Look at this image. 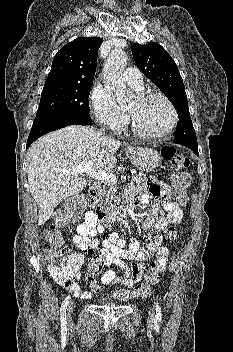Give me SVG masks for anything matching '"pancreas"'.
<instances>
[{
  "instance_id": "1",
  "label": "pancreas",
  "mask_w": 233,
  "mask_h": 352,
  "mask_svg": "<svg viewBox=\"0 0 233 352\" xmlns=\"http://www.w3.org/2000/svg\"><path fill=\"white\" fill-rule=\"evenodd\" d=\"M145 179H146L145 174H138L132 177V181L138 184L144 182ZM116 192H117L116 186L113 183L108 184L107 187L103 188L99 193L96 199V203L102 208L108 205L112 206L113 201L117 199V197L115 196Z\"/></svg>"
}]
</instances>
